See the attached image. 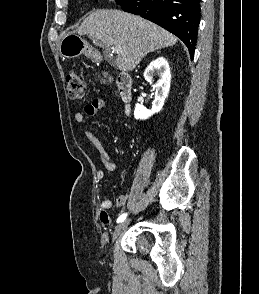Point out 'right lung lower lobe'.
Wrapping results in <instances>:
<instances>
[{"mask_svg": "<svg viewBox=\"0 0 259 294\" xmlns=\"http://www.w3.org/2000/svg\"><path fill=\"white\" fill-rule=\"evenodd\" d=\"M120 6L175 34L193 57L200 22V0H126Z\"/></svg>", "mask_w": 259, "mask_h": 294, "instance_id": "98d812e1", "label": "right lung lower lobe"}]
</instances>
